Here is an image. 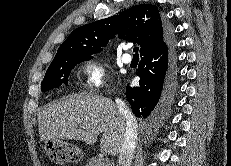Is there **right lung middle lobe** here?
I'll use <instances>...</instances> for the list:
<instances>
[{
    "label": "right lung middle lobe",
    "instance_id": "dd1d6c3e",
    "mask_svg": "<svg viewBox=\"0 0 231 166\" xmlns=\"http://www.w3.org/2000/svg\"><path fill=\"white\" fill-rule=\"evenodd\" d=\"M92 59L91 55L68 56L52 61L41 83V90L46 91L67 85L71 70L79 63Z\"/></svg>",
    "mask_w": 231,
    "mask_h": 166
}]
</instances>
